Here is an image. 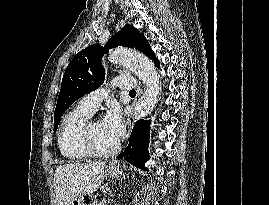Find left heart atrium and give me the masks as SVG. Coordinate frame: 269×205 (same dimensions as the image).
I'll return each mask as SVG.
<instances>
[{
  "instance_id": "obj_1",
  "label": "left heart atrium",
  "mask_w": 269,
  "mask_h": 205,
  "mask_svg": "<svg viewBox=\"0 0 269 205\" xmlns=\"http://www.w3.org/2000/svg\"><path fill=\"white\" fill-rule=\"evenodd\" d=\"M102 126L105 132L115 142H118L124 133L123 118L120 107L112 103L109 105L106 115L102 120Z\"/></svg>"
}]
</instances>
